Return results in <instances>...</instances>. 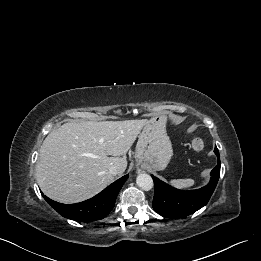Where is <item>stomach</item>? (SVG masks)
<instances>
[{
  "label": "stomach",
  "mask_w": 261,
  "mask_h": 261,
  "mask_svg": "<svg viewBox=\"0 0 261 261\" xmlns=\"http://www.w3.org/2000/svg\"><path fill=\"white\" fill-rule=\"evenodd\" d=\"M172 155V144L166 133V118H151L139 134L135 154L137 164H147L154 170H163Z\"/></svg>",
  "instance_id": "1"
}]
</instances>
